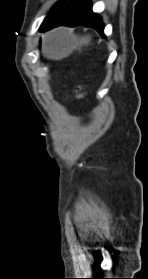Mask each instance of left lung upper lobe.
<instances>
[{"mask_svg":"<svg viewBox=\"0 0 148 279\" xmlns=\"http://www.w3.org/2000/svg\"><path fill=\"white\" fill-rule=\"evenodd\" d=\"M61 4H62V2L57 3V4L55 5V7L50 11L49 14H51V13H52L55 9H57ZM49 14H48V15H49Z\"/></svg>","mask_w":148,"mask_h":279,"instance_id":"1","label":"left lung upper lobe"}]
</instances>
